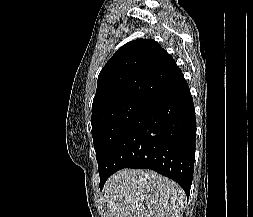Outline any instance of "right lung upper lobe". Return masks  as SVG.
I'll list each match as a JSON object with an SVG mask.
<instances>
[{
    "instance_id": "right-lung-upper-lobe-1",
    "label": "right lung upper lobe",
    "mask_w": 253,
    "mask_h": 217,
    "mask_svg": "<svg viewBox=\"0 0 253 217\" xmlns=\"http://www.w3.org/2000/svg\"><path fill=\"white\" fill-rule=\"evenodd\" d=\"M181 75L174 59L156 41L133 40L122 46L98 75L92 115L123 99L151 100Z\"/></svg>"
}]
</instances>
